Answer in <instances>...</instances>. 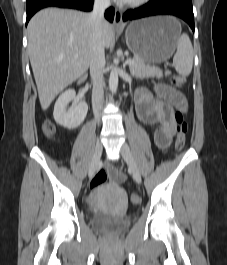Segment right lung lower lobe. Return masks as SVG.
<instances>
[{"label": "right lung lower lobe", "instance_id": "obj_1", "mask_svg": "<svg viewBox=\"0 0 227 265\" xmlns=\"http://www.w3.org/2000/svg\"><path fill=\"white\" fill-rule=\"evenodd\" d=\"M94 0H26L27 19L26 25L30 18L40 9L46 7L74 8L83 11L92 9ZM105 17L112 22L114 18V9L109 8L105 12Z\"/></svg>", "mask_w": 227, "mask_h": 265}]
</instances>
